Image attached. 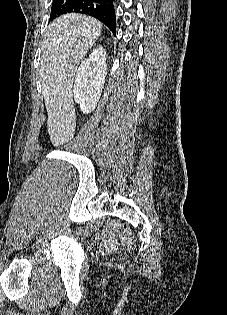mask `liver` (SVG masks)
Segmentation results:
<instances>
[{
    "mask_svg": "<svg viewBox=\"0 0 227 315\" xmlns=\"http://www.w3.org/2000/svg\"><path fill=\"white\" fill-rule=\"evenodd\" d=\"M101 31V22L77 13L62 15L49 24L42 46L40 79L48 113L47 129L55 146L74 137V77Z\"/></svg>",
    "mask_w": 227,
    "mask_h": 315,
    "instance_id": "obj_1",
    "label": "liver"
}]
</instances>
